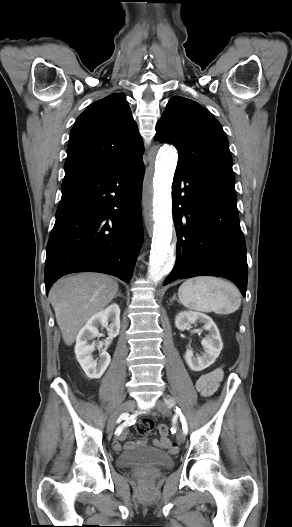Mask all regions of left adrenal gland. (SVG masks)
<instances>
[{
  "instance_id": "left-adrenal-gland-1",
  "label": "left adrenal gland",
  "mask_w": 292,
  "mask_h": 527,
  "mask_svg": "<svg viewBox=\"0 0 292 527\" xmlns=\"http://www.w3.org/2000/svg\"><path fill=\"white\" fill-rule=\"evenodd\" d=\"M174 300H176V301L178 302V299H177V297H176V294L173 295V297H172V299L170 300V302H172V301H174Z\"/></svg>"
}]
</instances>
